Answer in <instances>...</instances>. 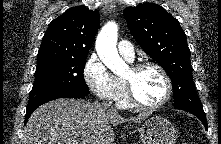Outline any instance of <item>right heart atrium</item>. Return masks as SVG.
<instances>
[{
  "mask_svg": "<svg viewBox=\"0 0 221 144\" xmlns=\"http://www.w3.org/2000/svg\"><path fill=\"white\" fill-rule=\"evenodd\" d=\"M83 78L90 91L101 100L116 101L121 93L120 82L96 54L86 61Z\"/></svg>",
  "mask_w": 221,
  "mask_h": 144,
  "instance_id": "obj_1",
  "label": "right heart atrium"
}]
</instances>
